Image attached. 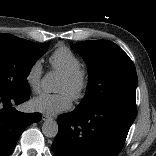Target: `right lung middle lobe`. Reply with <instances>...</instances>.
Returning <instances> with one entry per match:
<instances>
[{"label":"right lung middle lobe","instance_id":"1","mask_svg":"<svg viewBox=\"0 0 156 156\" xmlns=\"http://www.w3.org/2000/svg\"><path fill=\"white\" fill-rule=\"evenodd\" d=\"M49 45L0 33V90L14 94L29 92L27 76Z\"/></svg>","mask_w":156,"mask_h":156}]
</instances>
